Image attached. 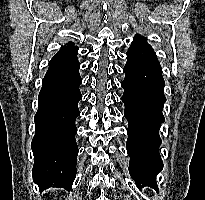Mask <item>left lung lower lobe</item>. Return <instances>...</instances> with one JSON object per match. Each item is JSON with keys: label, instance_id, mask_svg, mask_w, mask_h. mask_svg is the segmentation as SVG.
<instances>
[{"label": "left lung lower lobe", "instance_id": "left-lung-lower-lobe-1", "mask_svg": "<svg viewBox=\"0 0 205 200\" xmlns=\"http://www.w3.org/2000/svg\"><path fill=\"white\" fill-rule=\"evenodd\" d=\"M126 55L125 78L121 85L124 116L129 125L126 143L129 172L137 185L157 190L155 178L163 168L159 128L165 121L162 110L166 102L162 69L152 47L139 35L134 37Z\"/></svg>", "mask_w": 205, "mask_h": 200}]
</instances>
